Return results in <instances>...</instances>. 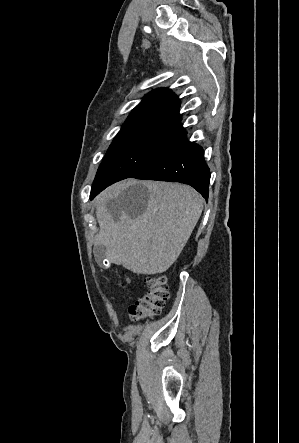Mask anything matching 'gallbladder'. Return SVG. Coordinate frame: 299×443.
Here are the masks:
<instances>
[{"label":"gallbladder","mask_w":299,"mask_h":443,"mask_svg":"<svg viewBox=\"0 0 299 443\" xmlns=\"http://www.w3.org/2000/svg\"><path fill=\"white\" fill-rule=\"evenodd\" d=\"M106 247L104 245L98 244L94 247V257L98 264L103 265L105 258Z\"/></svg>","instance_id":"obj_1"}]
</instances>
